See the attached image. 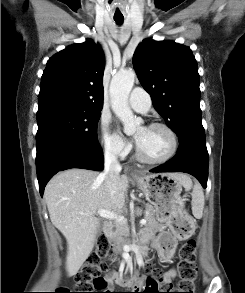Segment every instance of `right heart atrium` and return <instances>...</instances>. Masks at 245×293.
Returning a JSON list of instances; mask_svg holds the SVG:
<instances>
[{"label":"right heart atrium","mask_w":245,"mask_h":293,"mask_svg":"<svg viewBox=\"0 0 245 293\" xmlns=\"http://www.w3.org/2000/svg\"><path fill=\"white\" fill-rule=\"evenodd\" d=\"M101 138L104 151L109 157H124L130 151V145L128 143L110 132L109 123L105 119L101 120Z\"/></svg>","instance_id":"obj_1"}]
</instances>
